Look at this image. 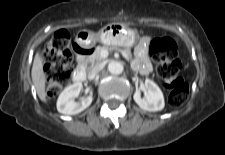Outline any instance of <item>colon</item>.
Returning a JSON list of instances; mask_svg holds the SVG:
<instances>
[{
    "mask_svg": "<svg viewBox=\"0 0 225 155\" xmlns=\"http://www.w3.org/2000/svg\"><path fill=\"white\" fill-rule=\"evenodd\" d=\"M70 35L66 30L57 31L46 45L44 52L47 95L55 97L70 81L72 53ZM149 53L157 64V74L169 90L168 103L178 108L189 94V85L181 73L178 48L171 38H156L149 45Z\"/></svg>",
    "mask_w": 225,
    "mask_h": 155,
    "instance_id": "5ec220e1",
    "label": "colon"
}]
</instances>
